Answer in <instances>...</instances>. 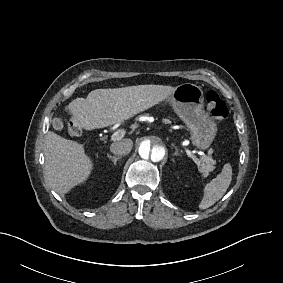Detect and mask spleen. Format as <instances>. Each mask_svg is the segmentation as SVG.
<instances>
[{
  "mask_svg": "<svg viewBox=\"0 0 283 283\" xmlns=\"http://www.w3.org/2000/svg\"><path fill=\"white\" fill-rule=\"evenodd\" d=\"M232 180V167L224 164L220 175L204 187L203 198L198 205L200 210H205L220 200L225 194Z\"/></svg>",
  "mask_w": 283,
  "mask_h": 283,
  "instance_id": "1",
  "label": "spleen"
}]
</instances>
